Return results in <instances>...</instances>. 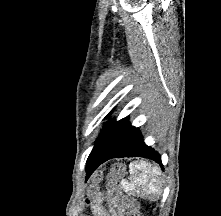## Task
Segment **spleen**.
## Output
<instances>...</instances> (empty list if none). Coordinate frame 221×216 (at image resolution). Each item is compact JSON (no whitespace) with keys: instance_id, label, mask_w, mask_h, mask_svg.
Instances as JSON below:
<instances>
[{"instance_id":"1","label":"spleen","mask_w":221,"mask_h":216,"mask_svg":"<svg viewBox=\"0 0 221 216\" xmlns=\"http://www.w3.org/2000/svg\"><path fill=\"white\" fill-rule=\"evenodd\" d=\"M130 183L122 180L125 192L140 197H159L162 194L161 171L156 165L146 161H136L130 164Z\"/></svg>"}]
</instances>
